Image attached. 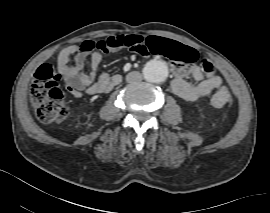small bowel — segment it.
I'll return each instance as SVG.
<instances>
[{
    "instance_id": "obj_1",
    "label": "small bowel",
    "mask_w": 270,
    "mask_h": 213,
    "mask_svg": "<svg viewBox=\"0 0 270 213\" xmlns=\"http://www.w3.org/2000/svg\"><path fill=\"white\" fill-rule=\"evenodd\" d=\"M159 42L171 49L163 51L171 61L174 74L172 88L175 93L184 100L195 101L219 88L223 83L220 75L213 69L205 73L203 68L196 65L198 53L195 49L168 39H159ZM129 47L127 36L114 35L108 38L93 41L84 40L76 45H69L62 49L58 57V68L63 76L66 90L75 98H79L82 92L96 95L110 91L121 82L120 75H110L107 72L98 74L100 64L106 54ZM160 50L156 46L146 44L142 48L136 42V54L147 55L150 52ZM89 58L90 71L84 69L85 62ZM73 60V65L68 64ZM191 76L197 83L187 82L185 78Z\"/></svg>"
}]
</instances>
